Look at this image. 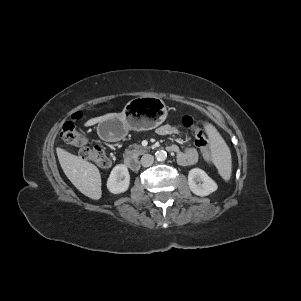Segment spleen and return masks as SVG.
<instances>
[{
  "label": "spleen",
  "mask_w": 301,
  "mask_h": 301,
  "mask_svg": "<svg viewBox=\"0 0 301 301\" xmlns=\"http://www.w3.org/2000/svg\"><path fill=\"white\" fill-rule=\"evenodd\" d=\"M211 138L212 159L221 177L228 181L231 177V152L224 139L211 124H205Z\"/></svg>",
  "instance_id": "3e777b00"
}]
</instances>
